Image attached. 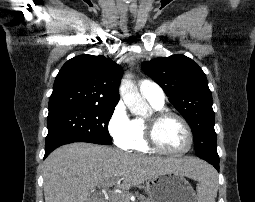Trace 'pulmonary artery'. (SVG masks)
I'll return each mask as SVG.
<instances>
[{
	"instance_id": "e3ab8cb5",
	"label": "pulmonary artery",
	"mask_w": 255,
	"mask_h": 202,
	"mask_svg": "<svg viewBox=\"0 0 255 202\" xmlns=\"http://www.w3.org/2000/svg\"><path fill=\"white\" fill-rule=\"evenodd\" d=\"M139 90L141 95L149 102L158 105L164 104L165 94L157 83L150 80H143L139 83Z\"/></svg>"
}]
</instances>
